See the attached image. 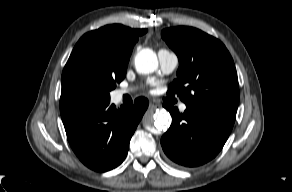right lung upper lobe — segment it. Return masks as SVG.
<instances>
[{
	"label": "right lung upper lobe",
	"instance_id": "1",
	"mask_svg": "<svg viewBox=\"0 0 292 192\" xmlns=\"http://www.w3.org/2000/svg\"><path fill=\"white\" fill-rule=\"evenodd\" d=\"M146 29H131L123 25H107L83 35L77 46H91L115 68L127 70L133 46Z\"/></svg>",
	"mask_w": 292,
	"mask_h": 192
}]
</instances>
